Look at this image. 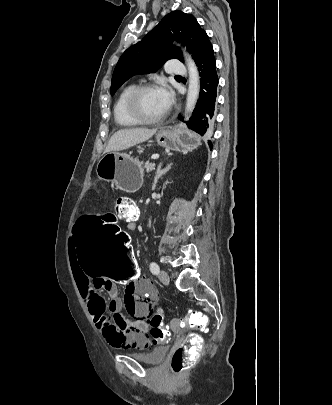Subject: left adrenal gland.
<instances>
[{"label":"left adrenal gland","mask_w":332,"mask_h":405,"mask_svg":"<svg viewBox=\"0 0 332 405\" xmlns=\"http://www.w3.org/2000/svg\"><path fill=\"white\" fill-rule=\"evenodd\" d=\"M171 166H172V164H169L166 168L162 169V163H160L158 165L157 170H156V175L154 178V184L152 186L153 190L155 189L159 178H161L164 174H166L171 169Z\"/></svg>","instance_id":"obj_1"}]
</instances>
